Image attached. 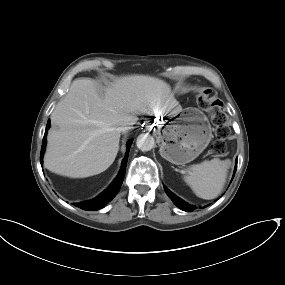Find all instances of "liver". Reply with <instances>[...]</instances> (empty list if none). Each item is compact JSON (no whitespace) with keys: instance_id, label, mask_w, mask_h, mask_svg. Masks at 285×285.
Listing matches in <instances>:
<instances>
[{"instance_id":"obj_1","label":"liver","mask_w":285,"mask_h":285,"mask_svg":"<svg viewBox=\"0 0 285 285\" xmlns=\"http://www.w3.org/2000/svg\"><path fill=\"white\" fill-rule=\"evenodd\" d=\"M182 111L170 86L155 77L129 75L97 92L91 79H76L55 107L47 136L44 166L71 178L100 174L119 151V126L136 122V115H166Z\"/></svg>"}]
</instances>
